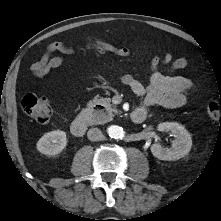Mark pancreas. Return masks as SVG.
Here are the masks:
<instances>
[{
    "instance_id": "obj_1",
    "label": "pancreas",
    "mask_w": 221,
    "mask_h": 221,
    "mask_svg": "<svg viewBox=\"0 0 221 221\" xmlns=\"http://www.w3.org/2000/svg\"><path fill=\"white\" fill-rule=\"evenodd\" d=\"M90 104H102L105 106L107 113H108V116L104 118L99 117L97 112L90 113L87 116V122L91 125L103 123L104 121L112 118L114 116L113 113L115 114L118 113L116 108L112 107V105L110 104V99H94L90 102Z\"/></svg>"
}]
</instances>
